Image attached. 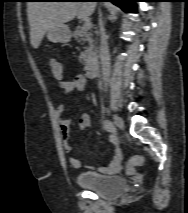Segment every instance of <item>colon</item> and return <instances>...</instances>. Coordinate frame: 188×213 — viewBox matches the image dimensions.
Masks as SVG:
<instances>
[{
    "label": "colon",
    "mask_w": 188,
    "mask_h": 213,
    "mask_svg": "<svg viewBox=\"0 0 188 213\" xmlns=\"http://www.w3.org/2000/svg\"><path fill=\"white\" fill-rule=\"evenodd\" d=\"M49 68L53 76L60 80L63 78V68L59 60L57 59H50L49 62ZM144 161V158L142 155H135L132 158L129 159L126 165V170L128 173H134L136 171V168L140 166Z\"/></svg>",
    "instance_id": "colon-1"
}]
</instances>
